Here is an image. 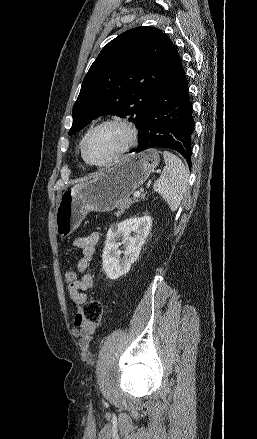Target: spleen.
I'll return each instance as SVG.
<instances>
[{
	"instance_id": "3e777b00",
	"label": "spleen",
	"mask_w": 257,
	"mask_h": 439,
	"mask_svg": "<svg viewBox=\"0 0 257 439\" xmlns=\"http://www.w3.org/2000/svg\"><path fill=\"white\" fill-rule=\"evenodd\" d=\"M165 167L160 178L154 183V190L169 205L171 211L179 207L188 184V170L173 153L163 151Z\"/></svg>"
}]
</instances>
